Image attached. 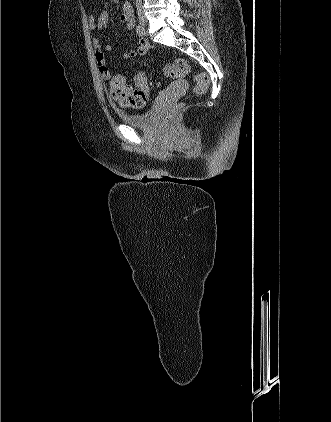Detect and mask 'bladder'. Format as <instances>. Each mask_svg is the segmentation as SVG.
Segmentation results:
<instances>
[{
    "label": "bladder",
    "instance_id": "31cf9c89",
    "mask_svg": "<svg viewBox=\"0 0 331 422\" xmlns=\"http://www.w3.org/2000/svg\"><path fill=\"white\" fill-rule=\"evenodd\" d=\"M159 113V101H156L155 104L144 112L139 113H128L125 111H118L120 119L127 125L150 129L153 128L157 122Z\"/></svg>",
    "mask_w": 331,
    "mask_h": 422
}]
</instances>
